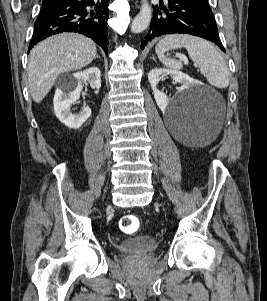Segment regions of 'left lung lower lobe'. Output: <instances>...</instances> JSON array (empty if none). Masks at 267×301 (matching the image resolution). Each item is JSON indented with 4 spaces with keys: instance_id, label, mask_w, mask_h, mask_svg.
Wrapping results in <instances>:
<instances>
[{
    "instance_id": "left-lung-lower-lobe-1",
    "label": "left lung lower lobe",
    "mask_w": 267,
    "mask_h": 301,
    "mask_svg": "<svg viewBox=\"0 0 267 301\" xmlns=\"http://www.w3.org/2000/svg\"><path fill=\"white\" fill-rule=\"evenodd\" d=\"M159 8L163 12L159 11ZM154 8L150 29L141 43V49L148 41L167 34H191L215 42L225 51L218 36V29L211 12L193 0H168L164 5Z\"/></svg>"
}]
</instances>
